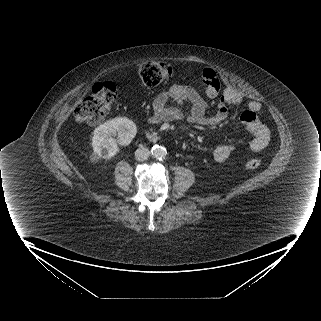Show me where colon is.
I'll list each match as a JSON object with an SVG mask.
<instances>
[{"instance_id": "obj_1", "label": "colon", "mask_w": 321, "mask_h": 321, "mask_svg": "<svg viewBox=\"0 0 321 321\" xmlns=\"http://www.w3.org/2000/svg\"><path fill=\"white\" fill-rule=\"evenodd\" d=\"M173 73V67L165 62L144 63L138 68V75L147 86L166 82L173 76ZM200 78L205 85L207 96L217 97L220 94V78L213 68H204L200 73ZM115 99L116 86L114 83L110 81L96 83L76 107L74 112L76 122L96 124L103 121ZM260 165L261 161L258 158H250L245 163L248 170H255Z\"/></svg>"}]
</instances>
